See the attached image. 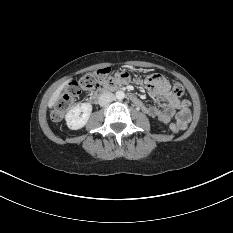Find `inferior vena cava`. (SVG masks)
I'll list each match as a JSON object with an SVG mask.
<instances>
[{"label": "inferior vena cava", "mask_w": 233, "mask_h": 233, "mask_svg": "<svg viewBox=\"0 0 233 233\" xmlns=\"http://www.w3.org/2000/svg\"><path fill=\"white\" fill-rule=\"evenodd\" d=\"M114 100H115V95L113 93L107 92L100 95L98 102L100 106H107Z\"/></svg>", "instance_id": "602c4592"}]
</instances>
